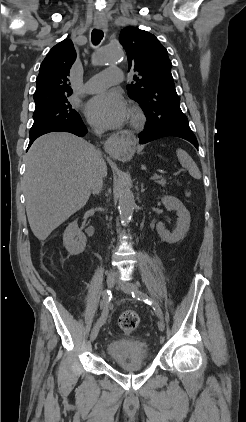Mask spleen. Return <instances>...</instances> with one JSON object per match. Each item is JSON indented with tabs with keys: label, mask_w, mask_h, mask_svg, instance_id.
I'll return each mask as SVG.
<instances>
[{
	"label": "spleen",
	"mask_w": 246,
	"mask_h": 422,
	"mask_svg": "<svg viewBox=\"0 0 246 422\" xmlns=\"http://www.w3.org/2000/svg\"><path fill=\"white\" fill-rule=\"evenodd\" d=\"M178 160L180 164L188 169L190 175L195 179L201 178V173L196 165V163L193 161V159L189 156V154L184 151L183 149H177L176 151Z\"/></svg>",
	"instance_id": "3e777b00"
}]
</instances>
